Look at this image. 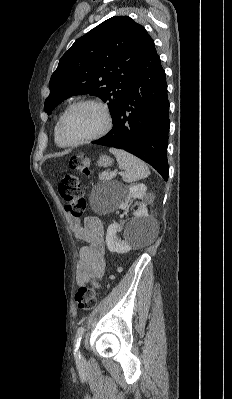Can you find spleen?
I'll use <instances>...</instances> for the list:
<instances>
[{"mask_svg": "<svg viewBox=\"0 0 232 399\" xmlns=\"http://www.w3.org/2000/svg\"><path fill=\"white\" fill-rule=\"evenodd\" d=\"M109 152L114 154L119 168L124 170L122 174L123 182H127V184H131V182H138V180H143V178H148L150 172L148 166L132 156V154H128V152H124V150H116V148H110Z\"/></svg>", "mask_w": 232, "mask_h": 399, "instance_id": "3e777b00", "label": "spleen"}]
</instances>
